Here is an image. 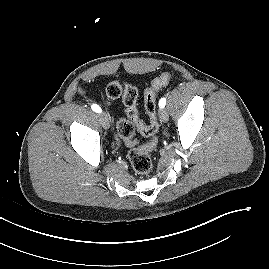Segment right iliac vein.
Returning a JSON list of instances; mask_svg holds the SVG:
<instances>
[{
    "mask_svg": "<svg viewBox=\"0 0 269 269\" xmlns=\"http://www.w3.org/2000/svg\"><path fill=\"white\" fill-rule=\"evenodd\" d=\"M99 117H100V121H101L102 126L105 129H109V127H110V120H109L108 115L106 113H101L99 115Z\"/></svg>",
    "mask_w": 269,
    "mask_h": 269,
    "instance_id": "right-iliac-vein-1",
    "label": "right iliac vein"
}]
</instances>
